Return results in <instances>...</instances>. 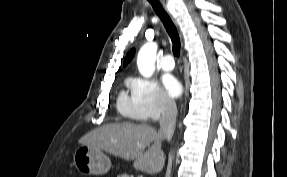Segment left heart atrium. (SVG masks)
<instances>
[{
  "label": "left heart atrium",
  "mask_w": 287,
  "mask_h": 177,
  "mask_svg": "<svg viewBox=\"0 0 287 177\" xmlns=\"http://www.w3.org/2000/svg\"><path fill=\"white\" fill-rule=\"evenodd\" d=\"M163 85L171 97H178L182 92L181 82L173 75H165L163 77Z\"/></svg>",
  "instance_id": "1"
}]
</instances>
